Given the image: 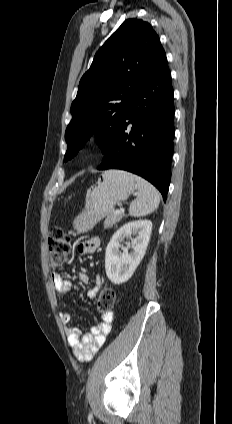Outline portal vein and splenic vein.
I'll return each instance as SVG.
<instances>
[{"label":"portal vein and splenic vein","mask_w":232,"mask_h":424,"mask_svg":"<svg viewBox=\"0 0 232 424\" xmlns=\"http://www.w3.org/2000/svg\"><path fill=\"white\" fill-rule=\"evenodd\" d=\"M117 213H124V209L122 207H120V209L117 210Z\"/></svg>","instance_id":"18ae733b"}]
</instances>
